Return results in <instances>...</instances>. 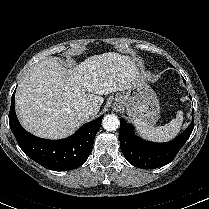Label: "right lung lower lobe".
<instances>
[{"label": "right lung lower lobe", "mask_w": 209, "mask_h": 209, "mask_svg": "<svg viewBox=\"0 0 209 209\" xmlns=\"http://www.w3.org/2000/svg\"><path fill=\"white\" fill-rule=\"evenodd\" d=\"M14 101L15 92L11 99L9 124L20 148L27 156L52 170H71L85 163L92 151L94 138L100 129L103 116L85 124L66 139L47 140L23 129L15 113Z\"/></svg>", "instance_id": "obj_1"}]
</instances>
